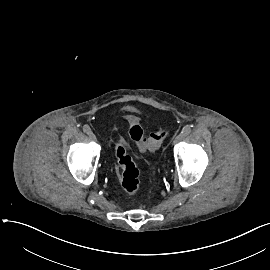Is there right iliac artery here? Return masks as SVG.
<instances>
[{
    "mask_svg": "<svg viewBox=\"0 0 270 270\" xmlns=\"http://www.w3.org/2000/svg\"><path fill=\"white\" fill-rule=\"evenodd\" d=\"M83 131H84L85 133L89 134V133L91 132V129H90V127H89L88 125H84V126H83Z\"/></svg>",
    "mask_w": 270,
    "mask_h": 270,
    "instance_id": "1",
    "label": "right iliac artery"
}]
</instances>
